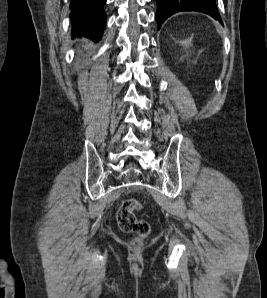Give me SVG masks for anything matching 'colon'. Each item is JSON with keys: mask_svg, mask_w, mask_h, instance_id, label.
<instances>
[{"mask_svg": "<svg viewBox=\"0 0 267 298\" xmlns=\"http://www.w3.org/2000/svg\"><path fill=\"white\" fill-rule=\"evenodd\" d=\"M141 209V203L130 198L123 202L117 213V223L119 228L127 233L136 236L134 245L140 246L141 241L149 233L150 227L147 221L139 219L136 213Z\"/></svg>", "mask_w": 267, "mask_h": 298, "instance_id": "obj_1", "label": "colon"}]
</instances>
